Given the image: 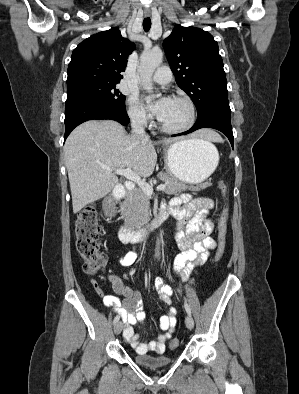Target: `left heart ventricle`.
Instances as JSON below:
<instances>
[{
    "mask_svg": "<svg viewBox=\"0 0 299 394\" xmlns=\"http://www.w3.org/2000/svg\"><path fill=\"white\" fill-rule=\"evenodd\" d=\"M160 120L164 125L171 128L182 127L190 120L189 107L182 101L169 99Z\"/></svg>",
    "mask_w": 299,
    "mask_h": 394,
    "instance_id": "b2bd125f",
    "label": "left heart ventricle"
}]
</instances>
